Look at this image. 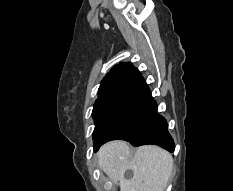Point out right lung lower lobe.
<instances>
[{
	"label": "right lung lower lobe",
	"mask_w": 233,
	"mask_h": 191,
	"mask_svg": "<svg viewBox=\"0 0 233 191\" xmlns=\"http://www.w3.org/2000/svg\"><path fill=\"white\" fill-rule=\"evenodd\" d=\"M126 95V106L94 143L95 151L107 141L123 139L134 146L156 144L173 152L175 145L168 132L167 121L157 114V104L142 76Z\"/></svg>",
	"instance_id": "obj_1"
}]
</instances>
